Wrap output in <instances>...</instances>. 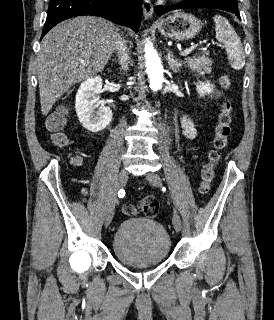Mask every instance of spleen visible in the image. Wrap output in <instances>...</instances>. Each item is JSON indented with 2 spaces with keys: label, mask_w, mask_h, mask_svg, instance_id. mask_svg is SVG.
I'll return each instance as SVG.
<instances>
[{
  "label": "spleen",
  "mask_w": 274,
  "mask_h": 320,
  "mask_svg": "<svg viewBox=\"0 0 274 320\" xmlns=\"http://www.w3.org/2000/svg\"><path fill=\"white\" fill-rule=\"evenodd\" d=\"M216 40L226 48L227 58L233 70H242L245 66V54L241 40L226 18L215 16Z\"/></svg>",
  "instance_id": "obj_1"
}]
</instances>
